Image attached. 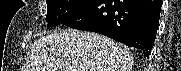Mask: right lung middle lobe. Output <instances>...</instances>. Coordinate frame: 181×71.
Wrapping results in <instances>:
<instances>
[{
	"mask_svg": "<svg viewBox=\"0 0 181 71\" xmlns=\"http://www.w3.org/2000/svg\"><path fill=\"white\" fill-rule=\"evenodd\" d=\"M94 0H46L48 26L62 24L81 10L90 5Z\"/></svg>",
	"mask_w": 181,
	"mask_h": 71,
	"instance_id": "right-lung-middle-lobe-1",
	"label": "right lung middle lobe"
}]
</instances>
